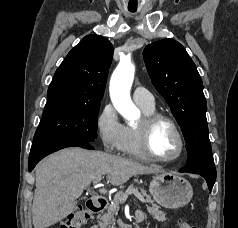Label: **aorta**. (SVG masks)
Returning <instances> with one entry per match:
<instances>
[{
    "mask_svg": "<svg viewBox=\"0 0 238 228\" xmlns=\"http://www.w3.org/2000/svg\"><path fill=\"white\" fill-rule=\"evenodd\" d=\"M135 66L128 60H121L110 80V97L116 110L128 121L139 114L130 97V89L134 80Z\"/></svg>",
    "mask_w": 238,
    "mask_h": 228,
    "instance_id": "obj_1",
    "label": "aorta"
}]
</instances>
